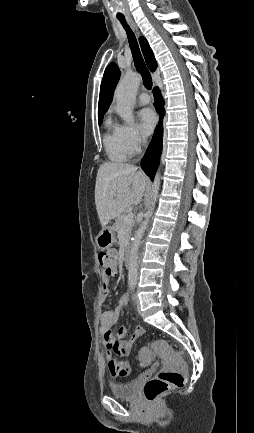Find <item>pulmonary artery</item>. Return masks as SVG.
Listing matches in <instances>:
<instances>
[{"instance_id":"1","label":"pulmonary artery","mask_w":254,"mask_h":433,"mask_svg":"<svg viewBox=\"0 0 254 433\" xmlns=\"http://www.w3.org/2000/svg\"><path fill=\"white\" fill-rule=\"evenodd\" d=\"M138 101L140 105H146L150 102V96L143 92L138 96Z\"/></svg>"}]
</instances>
